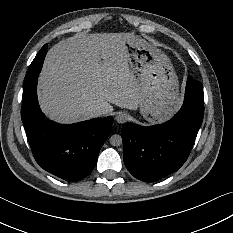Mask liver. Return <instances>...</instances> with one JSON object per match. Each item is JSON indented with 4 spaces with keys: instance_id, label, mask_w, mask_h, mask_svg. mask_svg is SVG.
<instances>
[{
    "instance_id": "liver-1",
    "label": "liver",
    "mask_w": 233,
    "mask_h": 233,
    "mask_svg": "<svg viewBox=\"0 0 233 233\" xmlns=\"http://www.w3.org/2000/svg\"><path fill=\"white\" fill-rule=\"evenodd\" d=\"M131 33H77L55 43L37 77L41 113L59 124L92 119L94 107L107 114L135 108L136 85L127 69L123 41ZM106 114V115H107Z\"/></svg>"
}]
</instances>
